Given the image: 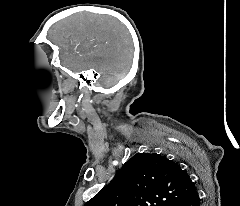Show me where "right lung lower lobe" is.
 I'll use <instances>...</instances> for the list:
<instances>
[{
  "label": "right lung lower lobe",
  "instance_id": "right-lung-lower-lobe-1",
  "mask_svg": "<svg viewBox=\"0 0 240 206\" xmlns=\"http://www.w3.org/2000/svg\"><path fill=\"white\" fill-rule=\"evenodd\" d=\"M171 206H200L199 194L195 190L191 195L174 202Z\"/></svg>",
  "mask_w": 240,
  "mask_h": 206
}]
</instances>
